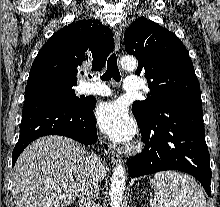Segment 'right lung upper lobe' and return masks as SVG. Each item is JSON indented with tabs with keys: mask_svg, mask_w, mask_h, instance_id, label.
Listing matches in <instances>:
<instances>
[{
	"mask_svg": "<svg viewBox=\"0 0 220 207\" xmlns=\"http://www.w3.org/2000/svg\"><path fill=\"white\" fill-rule=\"evenodd\" d=\"M113 46L112 31L99 20L72 22L54 33L39 50L27 84L55 79L76 85L77 67L89 61L94 70H101Z\"/></svg>",
	"mask_w": 220,
	"mask_h": 207,
	"instance_id": "1",
	"label": "right lung upper lobe"
}]
</instances>
